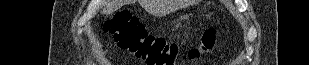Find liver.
Wrapping results in <instances>:
<instances>
[{"mask_svg":"<svg viewBox=\"0 0 309 65\" xmlns=\"http://www.w3.org/2000/svg\"><path fill=\"white\" fill-rule=\"evenodd\" d=\"M124 4L123 0H107L104 1L103 14H111L118 10ZM141 5L149 12H153L155 9L158 10L160 2L158 0H142Z\"/></svg>","mask_w":309,"mask_h":65,"instance_id":"liver-1","label":"liver"}]
</instances>
